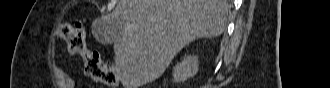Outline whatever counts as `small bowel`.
Masks as SVG:
<instances>
[{
  "label": "small bowel",
  "instance_id": "1",
  "mask_svg": "<svg viewBox=\"0 0 330 88\" xmlns=\"http://www.w3.org/2000/svg\"><path fill=\"white\" fill-rule=\"evenodd\" d=\"M53 76L60 87L72 88L74 85L73 79L59 68L53 69Z\"/></svg>",
  "mask_w": 330,
  "mask_h": 88
}]
</instances>
